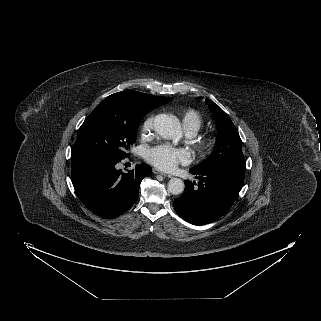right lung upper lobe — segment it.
<instances>
[{"mask_svg":"<svg viewBox=\"0 0 321 321\" xmlns=\"http://www.w3.org/2000/svg\"><path fill=\"white\" fill-rule=\"evenodd\" d=\"M117 94L125 95L135 101L139 106L145 108H157L165 103L171 101L173 98L170 97H157L150 94H145L141 92H137L134 90H125L122 92H118Z\"/></svg>","mask_w":321,"mask_h":321,"instance_id":"obj_1","label":"right lung upper lobe"}]
</instances>
